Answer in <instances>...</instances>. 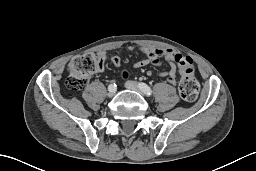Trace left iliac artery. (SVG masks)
I'll list each match as a JSON object with an SVG mask.
<instances>
[{"label":"left iliac artery","mask_w":256,"mask_h":171,"mask_svg":"<svg viewBox=\"0 0 256 171\" xmlns=\"http://www.w3.org/2000/svg\"><path fill=\"white\" fill-rule=\"evenodd\" d=\"M139 88L147 95L151 96L152 95V90L151 88L145 84V83H139Z\"/></svg>","instance_id":"44dca946"}]
</instances>
